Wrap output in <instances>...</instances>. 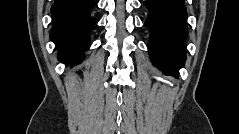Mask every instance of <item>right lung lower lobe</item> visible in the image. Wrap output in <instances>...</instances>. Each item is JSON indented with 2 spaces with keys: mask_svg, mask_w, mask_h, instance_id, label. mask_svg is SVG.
Masks as SVG:
<instances>
[{
  "mask_svg": "<svg viewBox=\"0 0 239 134\" xmlns=\"http://www.w3.org/2000/svg\"><path fill=\"white\" fill-rule=\"evenodd\" d=\"M94 0H55L51 8L53 27L50 37L58 47L60 61L80 63L90 46V29L95 22L90 16Z\"/></svg>",
  "mask_w": 239,
  "mask_h": 134,
  "instance_id": "obj_1",
  "label": "right lung lower lobe"
}]
</instances>
